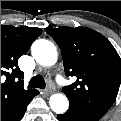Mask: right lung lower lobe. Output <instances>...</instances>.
Masks as SVG:
<instances>
[{
    "label": "right lung lower lobe",
    "mask_w": 121,
    "mask_h": 121,
    "mask_svg": "<svg viewBox=\"0 0 121 121\" xmlns=\"http://www.w3.org/2000/svg\"><path fill=\"white\" fill-rule=\"evenodd\" d=\"M37 94L38 91L35 92L32 96H30L27 100H25L14 112H12L8 117L3 119L2 121H20L21 118L24 116L28 104Z\"/></svg>",
    "instance_id": "1"
}]
</instances>
